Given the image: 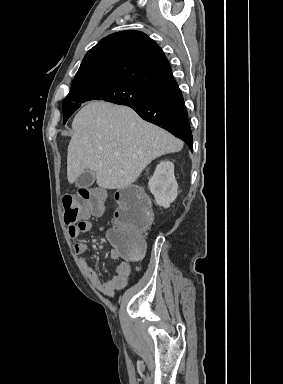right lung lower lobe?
Listing matches in <instances>:
<instances>
[{"label":"right lung lower lobe","instance_id":"98d812e1","mask_svg":"<svg viewBox=\"0 0 283 384\" xmlns=\"http://www.w3.org/2000/svg\"><path fill=\"white\" fill-rule=\"evenodd\" d=\"M124 105L134 109L142 119L156 124L184 140L193 150V137L187 110L174 78L153 88L144 100Z\"/></svg>","mask_w":283,"mask_h":384}]
</instances>
